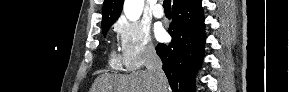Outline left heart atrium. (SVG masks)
Here are the masks:
<instances>
[{"mask_svg":"<svg viewBox=\"0 0 289 92\" xmlns=\"http://www.w3.org/2000/svg\"><path fill=\"white\" fill-rule=\"evenodd\" d=\"M155 36L158 40H162L165 37V30L161 26L155 28Z\"/></svg>","mask_w":289,"mask_h":92,"instance_id":"1","label":"left heart atrium"}]
</instances>
